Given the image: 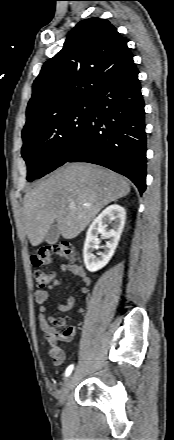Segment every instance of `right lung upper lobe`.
<instances>
[{"label":"right lung upper lobe","instance_id":"right-lung-upper-lobe-1","mask_svg":"<svg viewBox=\"0 0 174 440\" xmlns=\"http://www.w3.org/2000/svg\"><path fill=\"white\" fill-rule=\"evenodd\" d=\"M132 58L127 42L107 19L80 21L63 49L44 63L35 79L23 131L91 98L103 81L124 69Z\"/></svg>","mask_w":174,"mask_h":440}]
</instances>
